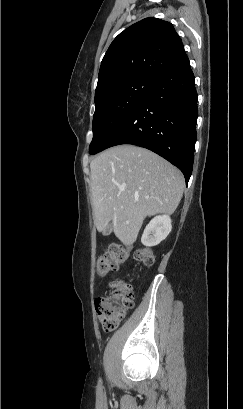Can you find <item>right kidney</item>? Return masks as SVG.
<instances>
[{"instance_id": "ca27d5eb", "label": "right kidney", "mask_w": 243, "mask_h": 409, "mask_svg": "<svg viewBox=\"0 0 243 409\" xmlns=\"http://www.w3.org/2000/svg\"><path fill=\"white\" fill-rule=\"evenodd\" d=\"M171 229V219L168 215L156 216L145 227L141 242L148 247L156 246L169 235Z\"/></svg>"}]
</instances>
